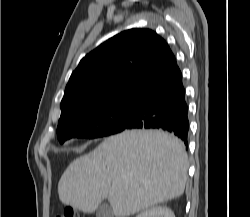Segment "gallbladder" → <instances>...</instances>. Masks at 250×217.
<instances>
[{"label":"gallbladder","mask_w":250,"mask_h":217,"mask_svg":"<svg viewBox=\"0 0 250 217\" xmlns=\"http://www.w3.org/2000/svg\"><path fill=\"white\" fill-rule=\"evenodd\" d=\"M97 217H114L112 208L108 203L101 204L97 211H96Z\"/></svg>","instance_id":"bac80fb5"}]
</instances>
